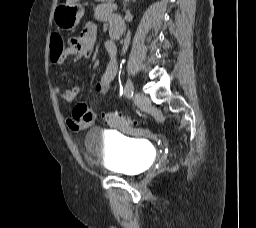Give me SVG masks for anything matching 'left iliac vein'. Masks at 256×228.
<instances>
[{"instance_id": "1", "label": "left iliac vein", "mask_w": 256, "mask_h": 228, "mask_svg": "<svg viewBox=\"0 0 256 228\" xmlns=\"http://www.w3.org/2000/svg\"><path fill=\"white\" fill-rule=\"evenodd\" d=\"M134 102L141 109L146 108L150 104L149 98L145 94L140 92L135 93Z\"/></svg>"}]
</instances>
